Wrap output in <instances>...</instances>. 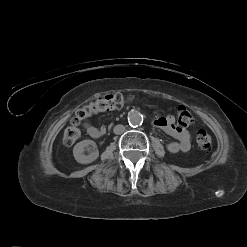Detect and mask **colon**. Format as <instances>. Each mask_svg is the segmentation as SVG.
Returning <instances> with one entry per match:
<instances>
[{"mask_svg":"<svg viewBox=\"0 0 247 247\" xmlns=\"http://www.w3.org/2000/svg\"><path fill=\"white\" fill-rule=\"evenodd\" d=\"M131 101V97H125L121 93L108 94L96 99L78 109L71 120V125L67 127L63 134V143L66 146L73 145L80 137L79 125L94 114L119 110ZM193 115L183 106L178 108V124L181 127H189L194 123ZM197 146L202 150H208L212 144V138L205 130H199L196 134Z\"/></svg>","mask_w":247,"mask_h":247,"instance_id":"colon-1","label":"colon"}]
</instances>
